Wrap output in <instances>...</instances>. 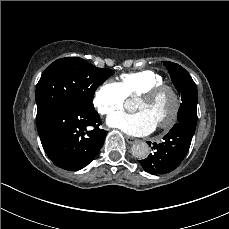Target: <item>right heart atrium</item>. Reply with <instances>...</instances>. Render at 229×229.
<instances>
[{
    "label": "right heart atrium",
    "mask_w": 229,
    "mask_h": 229,
    "mask_svg": "<svg viewBox=\"0 0 229 229\" xmlns=\"http://www.w3.org/2000/svg\"><path fill=\"white\" fill-rule=\"evenodd\" d=\"M126 95L121 86L113 81H104L94 92L92 103L102 115H110L123 109Z\"/></svg>",
    "instance_id": "right-heart-atrium-1"
}]
</instances>
